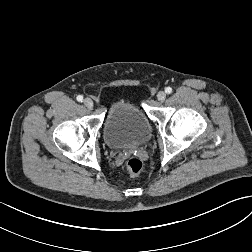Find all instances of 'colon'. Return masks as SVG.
Here are the masks:
<instances>
[{
    "label": "colon",
    "mask_w": 252,
    "mask_h": 252,
    "mask_svg": "<svg viewBox=\"0 0 252 252\" xmlns=\"http://www.w3.org/2000/svg\"><path fill=\"white\" fill-rule=\"evenodd\" d=\"M125 168L131 176H135L141 172L143 163L139 158L131 157L126 161Z\"/></svg>",
    "instance_id": "colon-1"
}]
</instances>
